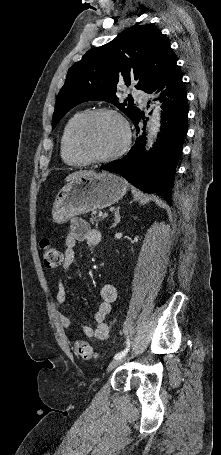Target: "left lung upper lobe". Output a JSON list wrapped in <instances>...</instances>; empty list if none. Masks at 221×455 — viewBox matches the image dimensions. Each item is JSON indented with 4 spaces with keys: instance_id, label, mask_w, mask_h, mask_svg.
Here are the masks:
<instances>
[{
    "instance_id": "5c2ea615",
    "label": "left lung upper lobe",
    "mask_w": 221,
    "mask_h": 455,
    "mask_svg": "<svg viewBox=\"0 0 221 455\" xmlns=\"http://www.w3.org/2000/svg\"><path fill=\"white\" fill-rule=\"evenodd\" d=\"M176 61L169 41L155 26L125 30L111 42L86 52L69 69L56 99L52 128L70 109L89 100L113 103L133 120L140 110L131 102H118L117 85L136 81L137 89L148 92Z\"/></svg>"
}]
</instances>
